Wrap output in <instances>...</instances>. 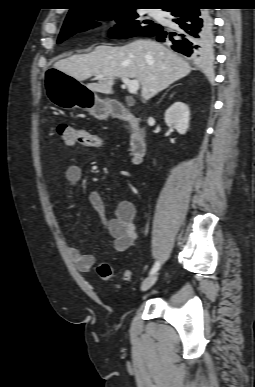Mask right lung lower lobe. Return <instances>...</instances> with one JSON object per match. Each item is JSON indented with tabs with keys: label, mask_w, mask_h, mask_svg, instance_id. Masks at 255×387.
Wrapping results in <instances>:
<instances>
[{
	"label": "right lung lower lobe",
	"mask_w": 255,
	"mask_h": 387,
	"mask_svg": "<svg viewBox=\"0 0 255 387\" xmlns=\"http://www.w3.org/2000/svg\"><path fill=\"white\" fill-rule=\"evenodd\" d=\"M198 0L179 2L165 9L173 16V28L155 26L146 28L141 35L155 36L175 51L195 62L206 63L213 51L212 18L208 9Z\"/></svg>",
	"instance_id": "98d812e1"
}]
</instances>
